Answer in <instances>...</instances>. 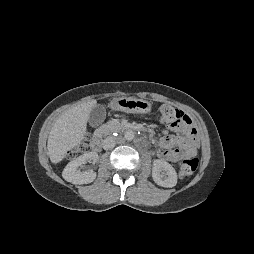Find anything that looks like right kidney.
I'll return each instance as SVG.
<instances>
[{
	"mask_svg": "<svg viewBox=\"0 0 254 254\" xmlns=\"http://www.w3.org/2000/svg\"><path fill=\"white\" fill-rule=\"evenodd\" d=\"M98 154L95 152H86L75 160L67 164L62 172L63 178L72 184H88L96 178V172L92 169L82 171L84 164L87 162H96Z\"/></svg>",
	"mask_w": 254,
	"mask_h": 254,
	"instance_id": "right-kidney-1",
	"label": "right kidney"
}]
</instances>
